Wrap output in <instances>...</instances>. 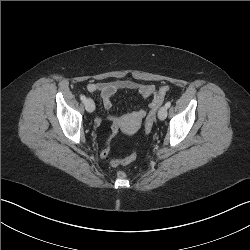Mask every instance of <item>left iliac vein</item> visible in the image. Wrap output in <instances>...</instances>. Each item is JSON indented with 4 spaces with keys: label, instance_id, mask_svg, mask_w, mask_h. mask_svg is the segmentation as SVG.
Here are the masks:
<instances>
[{
    "label": "left iliac vein",
    "instance_id": "1",
    "mask_svg": "<svg viewBox=\"0 0 250 250\" xmlns=\"http://www.w3.org/2000/svg\"><path fill=\"white\" fill-rule=\"evenodd\" d=\"M167 117V108L165 106L161 107L158 111V118L164 120Z\"/></svg>",
    "mask_w": 250,
    "mask_h": 250
}]
</instances>
